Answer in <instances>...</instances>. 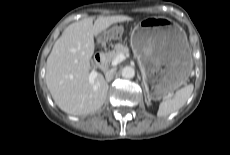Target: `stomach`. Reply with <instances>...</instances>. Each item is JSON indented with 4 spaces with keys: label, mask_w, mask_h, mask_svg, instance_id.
I'll return each mask as SVG.
<instances>
[{
    "label": "stomach",
    "mask_w": 230,
    "mask_h": 155,
    "mask_svg": "<svg viewBox=\"0 0 230 155\" xmlns=\"http://www.w3.org/2000/svg\"><path fill=\"white\" fill-rule=\"evenodd\" d=\"M130 46L149 100L165 99L187 82L193 67L192 54L185 32L172 20H140L131 33Z\"/></svg>",
    "instance_id": "stomach-1"
}]
</instances>
